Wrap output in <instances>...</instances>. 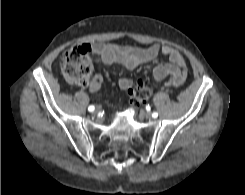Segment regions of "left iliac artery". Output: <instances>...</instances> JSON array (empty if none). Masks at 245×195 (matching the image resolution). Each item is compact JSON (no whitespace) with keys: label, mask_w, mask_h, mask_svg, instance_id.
<instances>
[{"label":"left iliac artery","mask_w":245,"mask_h":195,"mask_svg":"<svg viewBox=\"0 0 245 195\" xmlns=\"http://www.w3.org/2000/svg\"><path fill=\"white\" fill-rule=\"evenodd\" d=\"M152 117L153 118H157L158 117V113L157 112H153Z\"/></svg>","instance_id":"left-iliac-artery-1"}]
</instances>
